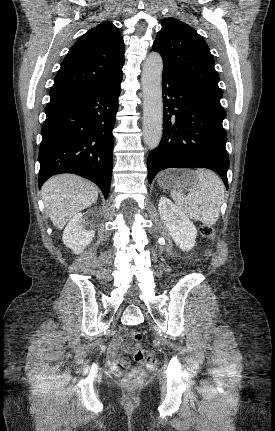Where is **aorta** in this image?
<instances>
[{
  "label": "aorta",
  "mask_w": 275,
  "mask_h": 431,
  "mask_svg": "<svg viewBox=\"0 0 275 431\" xmlns=\"http://www.w3.org/2000/svg\"><path fill=\"white\" fill-rule=\"evenodd\" d=\"M163 60L159 53L151 52L143 65V139L149 149H155L163 130L162 100Z\"/></svg>",
  "instance_id": "1"
}]
</instances>
